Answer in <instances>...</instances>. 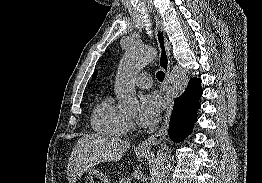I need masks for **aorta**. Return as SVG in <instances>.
Segmentation results:
<instances>
[{
	"instance_id": "obj_1",
	"label": "aorta",
	"mask_w": 262,
	"mask_h": 183,
	"mask_svg": "<svg viewBox=\"0 0 262 183\" xmlns=\"http://www.w3.org/2000/svg\"><path fill=\"white\" fill-rule=\"evenodd\" d=\"M156 57L152 47L134 46L129 48L120 63L118 79L115 83V94L118 106L123 111L137 109L139 103L136 97L135 85L132 77L138 74L148 63ZM188 75L185 69L174 66L169 78L166 95L170 98L179 97L188 85ZM172 169V157L169 148L164 145L159 147L153 166V182L163 183L167 180Z\"/></svg>"
}]
</instances>
